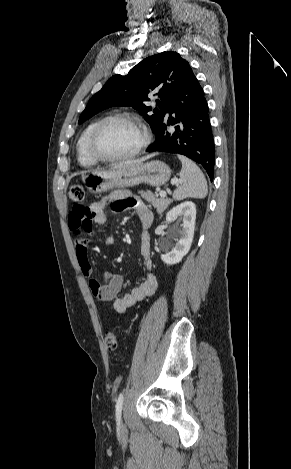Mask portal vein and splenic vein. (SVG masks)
I'll use <instances>...</instances> for the list:
<instances>
[{
  "mask_svg": "<svg viewBox=\"0 0 291 469\" xmlns=\"http://www.w3.org/2000/svg\"><path fill=\"white\" fill-rule=\"evenodd\" d=\"M182 181L178 180V179H173L172 180V184H178V183H181ZM160 197H165L166 196V192L165 191H160Z\"/></svg>",
  "mask_w": 291,
  "mask_h": 469,
  "instance_id": "portal-vein-and-splenic-vein-1",
  "label": "portal vein and splenic vein"
}]
</instances>
